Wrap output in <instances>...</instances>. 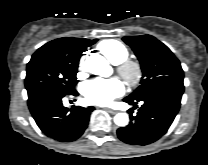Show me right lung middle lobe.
Returning a JSON list of instances; mask_svg holds the SVG:
<instances>
[{
	"label": "right lung middle lobe",
	"instance_id": "1",
	"mask_svg": "<svg viewBox=\"0 0 208 165\" xmlns=\"http://www.w3.org/2000/svg\"><path fill=\"white\" fill-rule=\"evenodd\" d=\"M87 46H71L53 40L40 47L27 64L25 87L28 98L43 91L75 90L79 59Z\"/></svg>",
	"mask_w": 208,
	"mask_h": 165
}]
</instances>
